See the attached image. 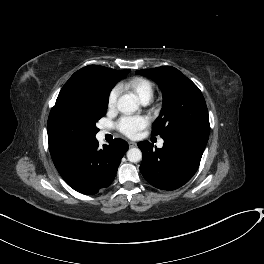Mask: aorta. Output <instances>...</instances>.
<instances>
[{
	"label": "aorta",
	"mask_w": 264,
	"mask_h": 264,
	"mask_svg": "<svg viewBox=\"0 0 264 264\" xmlns=\"http://www.w3.org/2000/svg\"><path fill=\"white\" fill-rule=\"evenodd\" d=\"M117 108L124 114H132L139 108V100L134 94H124L118 99ZM142 153L138 148H131L127 152V159L132 163L139 162Z\"/></svg>",
	"instance_id": "762f6f07"
}]
</instances>
